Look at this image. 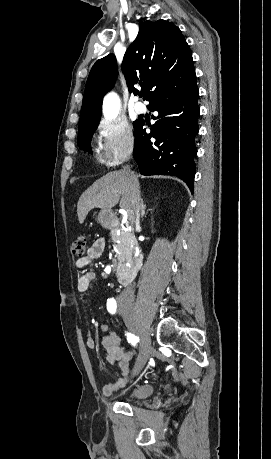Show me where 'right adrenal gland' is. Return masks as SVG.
I'll use <instances>...</instances> for the list:
<instances>
[{
    "label": "right adrenal gland",
    "instance_id": "2a0ac1e0",
    "mask_svg": "<svg viewBox=\"0 0 271 459\" xmlns=\"http://www.w3.org/2000/svg\"><path fill=\"white\" fill-rule=\"evenodd\" d=\"M140 200H141L140 204H141V210H142L141 218H143V216L145 214L146 206H144V202H143L142 198H140Z\"/></svg>",
    "mask_w": 271,
    "mask_h": 459
}]
</instances>
